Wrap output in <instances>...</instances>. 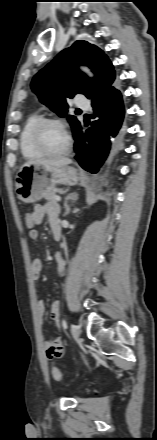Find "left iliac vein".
Returning <instances> with one entry per match:
<instances>
[{
    "mask_svg": "<svg viewBox=\"0 0 157 440\" xmlns=\"http://www.w3.org/2000/svg\"><path fill=\"white\" fill-rule=\"evenodd\" d=\"M71 333L77 343L81 341L79 329L75 325H71Z\"/></svg>",
    "mask_w": 157,
    "mask_h": 440,
    "instance_id": "obj_1",
    "label": "left iliac vein"
}]
</instances>
